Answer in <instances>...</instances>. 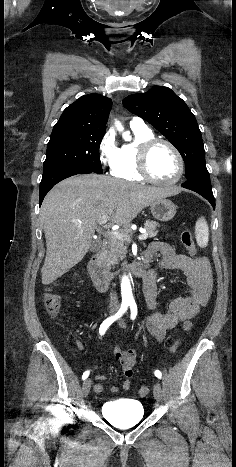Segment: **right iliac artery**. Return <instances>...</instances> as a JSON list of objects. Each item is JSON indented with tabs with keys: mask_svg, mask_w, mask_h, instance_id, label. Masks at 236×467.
<instances>
[{
	"mask_svg": "<svg viewBox=\"0 0 236 467\" xmlns=\"http://www.w3.org/2000/svg\"><path fill=\"white\" fill-rule=\"evenodd\" d=\"M128 306H129V303H122L120 309L118 310L116 314H114L113 316L107 318L106 320L102 322L99 328V334L101 336L105 334L106 330L109 328V326L114 321L119 319L127 311ZM89 374H90V371H85L82 375V379L85 380L89 376Z\"/></svg>",
	"mask_w": 236,
	"mask_h": 467,
	"instance_id": "1",
	"label": "right iliac artery"
}]
</instances>
